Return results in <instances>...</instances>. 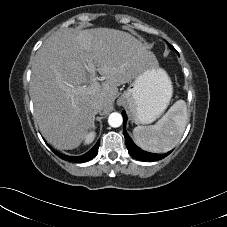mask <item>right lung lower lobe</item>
<instances>
[{
    "label": "right lung lower lobe",
    "instance_id": "1",
    "mask_svg": "<svg viewBox=\"0 0 227 227\" xmlns=\"http://www.w3.org/2000/svg\"><path fill=\"white\" fill-rule=\"evenodd\" d=\"M98 148H99V141L89 152H87L86 154H84L82 156H67V155H63V154H57V155L60 158L67 160V161L82 163V162L89 161L93 157H95L98 153Z\"/></svg>",
    "mask_w": 227,
    "mask_h": 227
}]
</instances>
